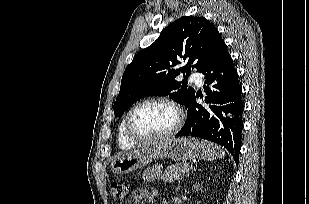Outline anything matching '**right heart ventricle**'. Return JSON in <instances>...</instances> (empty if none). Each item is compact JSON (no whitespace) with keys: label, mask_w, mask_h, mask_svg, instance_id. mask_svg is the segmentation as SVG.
I'll return each mask as SVG.
<instances>
[{"label":"right heart ventricle","mask_w":309,"mask_h":204,"mask_svg":"<svg viewBox=\"0 0 309 204\" xmlns=\"http://www.w3.org/2000/svg\"><path fill=\"white\" fill-rule=\"evenodd\" d=\"M125 119L126 117L121 121L118 128V144L121 148L128 149L135 146L136 143L128 139L125 134Z\"/></svg>","instance_id":"right-heart-ventricle-1"}]
</instances>
